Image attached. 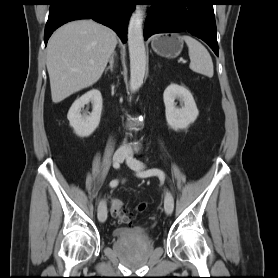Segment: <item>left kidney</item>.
Returning <instances> with one entry per match:
<instances>
[{
	"label": "left kidney",
	"mask_w": 278,
	"mask_h": 278,
	"mask_svg": "<svg viewBox=\"0 0 278 278\" xmlns=\"http://www.w3.org/2000/svg\"><path fill=\"white\" fill-rule=\"evenodd\" d=\"M175 99L184 105L176 107ZM165 115L168 125L175 131L186 129L197 119L199 111L190 91L178 84H170L164 91Z\"/></svg>",
	"instance_id": "1"
}]
</instances>
